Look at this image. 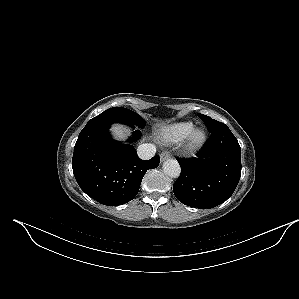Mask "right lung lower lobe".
I'll return each mask as SVG.
<instances>
[{
  "instance_id": "98d812e1",
  "label": "right lung lower lobe",
  "mask_w": 299,
  "mask_h": 299,
  "mask_svg": "<svg viewBox=\"0 0 299 299\" xmlns=\"http://www.w3.org/2000/svg\"><path fill=\"white\" fill-rule=\"evenodd\" d=\"M115 122L133 126L108 113L89 120L79 134L72 159L73 173L80 188L99 203L109 206L131 201L146 171L158 167L160 162L158 155L143 161L133 145L113 141L108 129ZM140 136L137 130L129 141Z\"/></svg>"
}]
</instances>
